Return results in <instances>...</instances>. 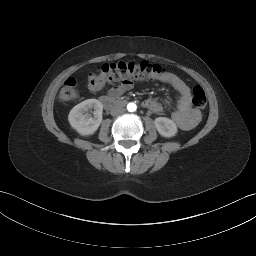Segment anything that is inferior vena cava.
<instances>
[{"label":"inferior vena cava","instance_id":"obj_1","mask_svg":"<svg viewBox=\"0 0 256 256\" xmlns=\"http://www.w3.org/2000/svg\"><path fill=\"white\" fill-rule=\"evenodd\" d=\"M124 112V109L123 108H120V107H116L114 109L111 110V115L113 116H117L119 114H122Z\"/></svg>","mask_w":256,"mask_h":256}]
</instances>
